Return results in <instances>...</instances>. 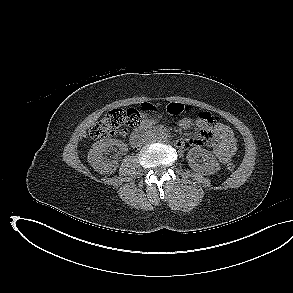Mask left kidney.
Masks as SVG:
<instances>
[{"mask_svg":"<svg viewBox=\"0 0 293 293\" xmlns=\"http://www.w3.org/2000/svg\"><path fill=\"white\" fill-rule=\"evenodd\" d=\"M203 159V163L199 158ZM189 166L195 171L205 175H211L220 170L215 156L208 150L202 148H191L187 154Z\"/></svg>","mask_w":293,"mask_h":293,"instance_id":"1","label":"left kidney"}]
</instances>
